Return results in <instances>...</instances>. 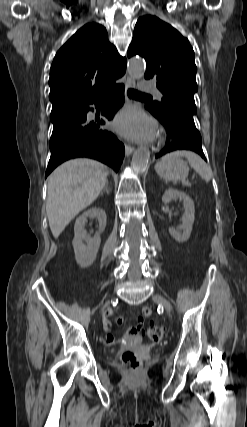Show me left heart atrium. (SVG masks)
Listing matches in <instances>:
<instances>
[{
	"label": "left heart atrium",
	"mask_w": 247,
	"mask_h": 427,
	"mask_svg": "<svg viewBox=\"0 0 247 427\" xmlns=\"http://www.w3.org/2000/svg\"><path fill=\"white\" fill-rule=\"evenodd\" d=\"M113 128L123 137L138 142L151 140L156 131L153 119L136 107L120 112L114 120Z\"/></svg>",
	"instance_id": "left-heart-atrium-1"
}]
</instances>
